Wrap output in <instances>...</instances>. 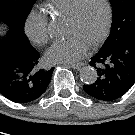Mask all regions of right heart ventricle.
<instances>
[{
    "mask_svg": "<svg viewBox=\"0 0 135 135\" xmlns=\"http://www.w3.org/2000/svg\"><path fill=\"white\" fill-rule=\"evenodd\" d=\"M78 0H48L46 9L55 16L68 18Z\"/></svg>",
    "mask_w": 135,
    "mask_h": 135,
    "instance_id": "obj_1",
    "label": "right heart ventricle"
}]
</instances>
